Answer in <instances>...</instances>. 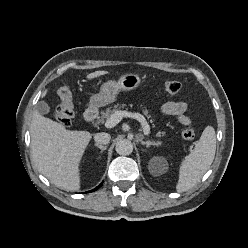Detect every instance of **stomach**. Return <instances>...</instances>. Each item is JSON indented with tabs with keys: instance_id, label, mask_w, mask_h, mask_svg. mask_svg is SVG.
I'll return each mask as SVG.
<instances>
[{
	"instance_id": "obj_1",
	"label": "stomach",
	"mask_w": 248,
	"mask_h": 248,
	"mask_svg": "<svg viewBox=\"0 0 248 248\" xmlns=\"http://www.w3.org/2000/svg\"><path fill=\"white\" fill-rule=\"evenodd\" d=\"M141 78L134 73L122 75L118 81L109 80L102 84L100 92L90 98V107L97 109L113 103L120 91H130L141 84Z\"/></svg>"
}]
</instances>
